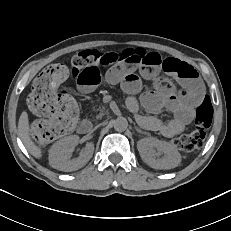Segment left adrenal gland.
Returning <instances> with one entry per match:
<instances>
[{"label": "left adrenal gland", "mask_w": 231, "mask_h": 231, "mask_svg": "<svg viewBox=\"0 0 231 231\" xmlns=\"http://www.w3.org/2000/svg\"><path fill=\"white\" fill-rule=\"evenodd\" d=\"M135 130H136L137 132H139V133L147 134V132H144V131H142L141 129H139V128H137V127H135Z\"/></svg>", "instance_id": "a2214340"}]
</instances>
